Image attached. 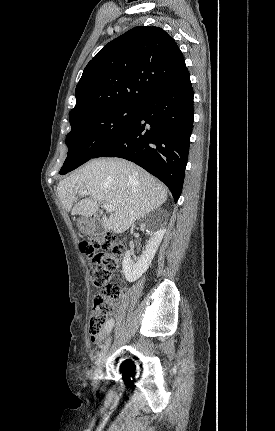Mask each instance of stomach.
<instances>
[{
  "mask_svg": "<svg viewBox=\"0 0 275 431\" xmlns=\"http://www.w3.org/2000/svg\"><path fill=\"white\" fill-rule=\"evenodd\" d=\"M77 225H78L80 231L83 233H90L92 231L91 226L88 223V221L83 219V218L78 220Z\"/></svg>",
  "mask_w": 275,
  "mask_h": 431,
  "instance_id": "stomach-1",
  "label": "stomach"
}]
</instances>
